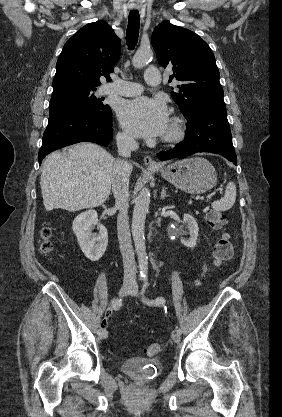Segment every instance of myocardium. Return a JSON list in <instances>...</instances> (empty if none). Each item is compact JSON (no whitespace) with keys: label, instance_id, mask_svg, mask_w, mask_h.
<instances>
[{"label":"myocardium","instance_id":"obj_1","mask_svg":"<svg viewBox=\"0 0 282 417\" xmlns=\"http://www.w3.org/2000/svg\"><path fill=\"white\" fill-rule=\"evenodd\" d=\"M185 137V127L182 119L174 117L170 120L168 130L162 135V141L168 144L180 142Z\"/></svg>","mask_w":282,"mask_h":417}]
</instances>
